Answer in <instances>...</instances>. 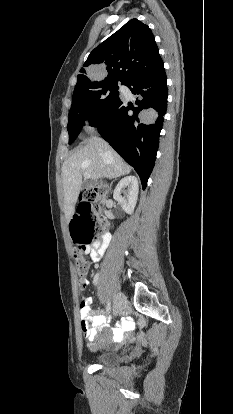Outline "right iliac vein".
I'll return each instance as SVG.
<instances>
[{"label":"right iliac vein","instance_id":"obj_1","mask_svg":"<svg viewBox=\"0 0 233 414\" xmlns=\"http://www.w3.org/2000/svg\"><path fill=\"white\" fill-rule=\"evenodd\" d=\"M127 303L126 297L122 293H118L114 298V307L113 313L115 316H118L122 313Z\"/></svg>","mask_w":233,"mask_h":414}]
</instances>
